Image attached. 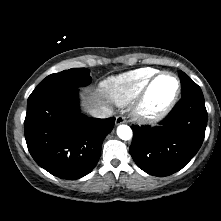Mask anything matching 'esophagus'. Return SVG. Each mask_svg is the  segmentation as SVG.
I'll return each instance as SVG.
<instances>
[{
    "instance_id": "esophagus-1",
    "label": "esophagus",
    "mask_w": 221,
    "mask_h": 221,
    "mask_svg": "<svg viewBox=\"0 0 221 221\" xmlns=\"http://www.w3.org/2000/svg\"><path fill=\"white\" fill-rule=\"evenodd\" d=\"M126 122V118L122 115L116 117L115 124L120 125Z\"/></svg>"
}]
</instances>
